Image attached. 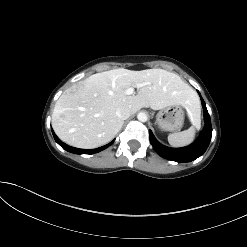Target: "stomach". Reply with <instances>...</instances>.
Masks as SVG:
<instances>
[{"mask_svg":"<svg viewBox=\"0 0 247 247\" xmlns=\"http://www.w3.org/2000/svg\"><path fill=\"white\" fill-rule=\"evenodd\" d=\"M156 123L164 131H178L184 123V111L180 105L168 106L158 112Z\"/></svg>","mask_w":247,"mask_h":247,"instance_id":"stomach-1","label":"stomach"}]
</instances>
